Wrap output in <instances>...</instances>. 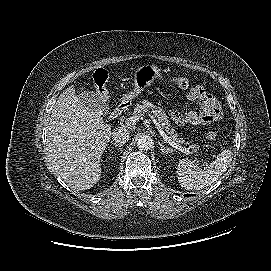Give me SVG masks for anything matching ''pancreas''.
Segmentation results:
<instances>
[{"mask_svg": "<svg viewBox=\"0 0 271 271\" xmlns=\"http://www.w3.org/2000/svg\"><path fill=\"white\" fill-rule=\"evenodd\" d=\"M151 110L154 117L157 118L158 122L160 123L162 129L169 134L170 138L173 141L183 143L184 141L181 138H178V135L175 133L173 128H170V121L166 113L158 106L154 105L153 103L149 102L148 100H143L141 104H137L134 108V113H138L140 115L148 112Z\"/></svg>", "mask_w": 271, "mask_h": 271, "instance_id": "pancreas-1", "label": "pancreas"}]
</instances>
